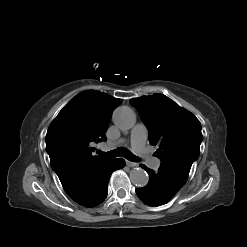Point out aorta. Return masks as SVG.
<instances>
[{
    "instance_id": "obj_1",
    "label": "aorta",
    "mask_w": 247,
    "mask_h": 247,
    "mask_svg": "<svg viewBox=\"0 0 247 247\" xmlns=\"http://www.w3.org/2000/svg\"><path fill=\"white\" fill-rule=\"evenodd\" d=\"M113 122L121 130L131 129L136 123V114L130 107H118L113 113ZM130 180L135 186L144 187L148 184L149 177L142 168H134L130 172Z\"/></svg>"
}]
</instances>
